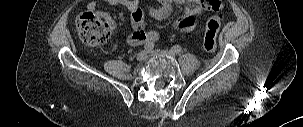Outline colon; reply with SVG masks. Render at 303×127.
<instances>
[{"instance_id":"colon-1","label":"colon","mask_w":303,"mask_h":127,"mask_svg":"<svg viewBox=\"0 0 303 127\" xmlns=\"http://www.w3.org/2000/svg\"><path fill=\"white\" fill-rule=\"evenodd\" d=\"M77 31L81 41L88 47L102 44L109 37L110 29L93 11H85L77 18ZM220 27L219 15L211 16L205 25L203 47L213 53L216 50V37Z\"/></svg>"}]
</instances>
